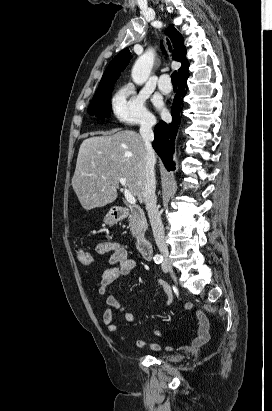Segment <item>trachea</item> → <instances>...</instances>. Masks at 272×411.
Masks as SVG:
<instances>
[{"instance_id": "obj_1", "label": "trachea", "mask_w": 272, "mask_h": 411, "mask_svg": "<svg viewBox=\"0 0 272 411\" xmlns=\"http://www.w3.org/2000/svg\"><path fill=\"white\" fill-rule=\"evenodd\" d=\"M167 44H168V47H169V49H170V51H171V44H170V42H169L168 40H167ZM171 81H172L173 86H177V84H178V74H177L176 71H174V72L172 73V75H171Z\"/></svg>"}]
</instances>
